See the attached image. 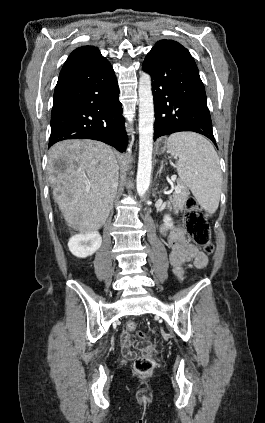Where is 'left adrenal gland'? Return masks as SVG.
<instances>
[{
  "instance_id": "a2214340",
  "label": "left adrenal gland",
  "mask_w": 265,
  "mask_h": 423,
  "mask_svg": "<svg viewBox=\"0 0 265 423\" xmlns=\"http://www.w3.org/2000/svg\"><path fill=\"white\" fill-rule=\"evenodd\" d=\"M163 163H164V161H161V167H160V171L159 172H161V170L163 169Z\"/></svg>"
}]
</instances>
